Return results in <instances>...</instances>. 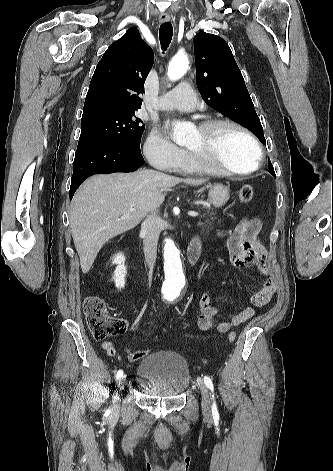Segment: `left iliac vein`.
Wrapping results in <instances>:
<instances>
[{
    "label": "left iliac vein",
    "instance_id": "4c4485c4",
    "mask_svg": "<svg viewBox=\"0 0 333 471\" xmlns=\"http://www.w3.org/2000/svg\"><path fill=\"white\" fill-rule=\"evenodd\" d=\"M198 386L202 396V410L206 416H211V399L210 392L205 383L201 380H198Z\"/></svg>",
    "mask_w": 333,
    "mask_h": 471
}]
</instances>
